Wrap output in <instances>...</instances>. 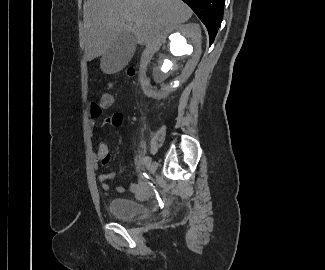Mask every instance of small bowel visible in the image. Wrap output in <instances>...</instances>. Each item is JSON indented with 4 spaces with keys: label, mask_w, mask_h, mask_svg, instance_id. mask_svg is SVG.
Here are the masks:
<instances>
[{
    "label": "small bowel",
    "mask_w": 325,
    "mask_h": 270,
    "mask_svg": "<svg viewBox=\"0 0 325 270\" xmlns=\"http://www.w3.org/2000/svg\"><path fill=\"white\" fill-rule=\"evenodd\" d=\"M102 96H112L109 93H104ZM114 103H99L91 102L89 106V112L91 116L90 128L94 130L97 126L96 119L102 115V111L106 108L113 106ZM123 122V114L121 112H114L111 115L104 118L102 125L105 127H118ZM96 165L106 166L111 161V155L108 150V146L105 142L101 141L98 144L97 152L94 155ZM115 177L114 172L102 173L98 176V180L101 183V187L104 191H108L110 186L108 181ZM125 188L122 185L116 187L118 193H123ZM130 192L140 200H147L151 196L150 189L141 181L131 183Z\"/></svg>",
    "instance_id": "obj_1"
}]
</instances>
